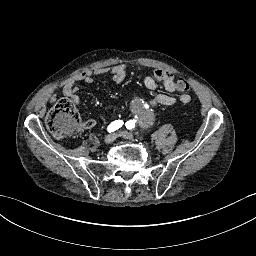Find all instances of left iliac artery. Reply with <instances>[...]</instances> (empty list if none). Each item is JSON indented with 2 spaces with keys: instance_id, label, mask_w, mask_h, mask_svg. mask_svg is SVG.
Returning a JSON list of instances; mask_svg holds the SVG:
<instances>
[{
  "instance_id": "obj_1",
  "label": "left iliac artery",
  "mask_w": 256,
  "mask_h": 256,
  "mask_svg": "<svg viewBox=\"0 0 256 256\" xmlns=\"http://www.w3.org/2000/svg\"><path fill=\"white\" fill-rule=\"evenodd\" d=\"M135 122H136L135 120H130V121L126 122V128L132 129L134 127Z\"/></svg>"
}]
</instances>
